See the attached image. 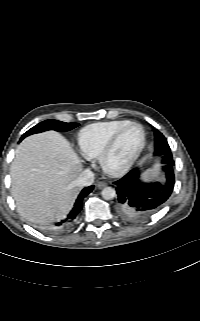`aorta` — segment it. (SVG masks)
<instances>
[{
    "label": "aorta",
    "instance_id": "1",
    "mask_svg": "<svg viewBox=\"0 0 200 321\" xmlns=\"http://www.w3.org/2000/svg\"><path fill=\"white\" fill-rule=\"evenodd\" d=\"M101 195L105 200H111L116 196V191L112 187H105L102 190Z\"/></svg>",
    "mask_w": 200,
    "mask_h": 321
}]
</instances>
